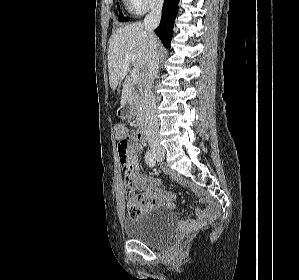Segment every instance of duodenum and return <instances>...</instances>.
<instances>
[{"instance_id":"1","label":"duodenum","mask_w":299,"mask_h":280,"mask_svg":"<svg viewBox=\"0 0 299 280\" xmlns=\"http://www.w3.org/2000/svg\"><path fill=\"white\" fill-rule=\"evenodd\" d=\"M138 137L140 140H145L147 138V127L145 124H141L138 129Z\"/></svg>"}]
</instances>
